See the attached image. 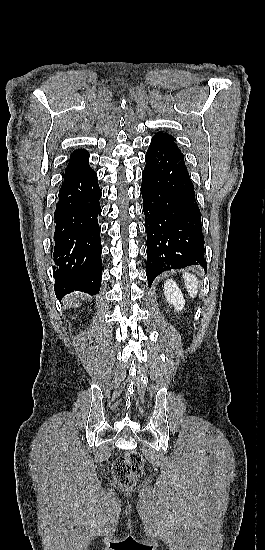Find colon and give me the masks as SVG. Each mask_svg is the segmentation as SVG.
<instances>
[{
  "label": "colon",
  "mask_w": 265,
  "mask_h": 550,
  "mask_svg": "<svg viewBox=\"0 0 265 550\" xmlns=\"http://www.w3.org/2000/svg\"><path fill=\"white\" fill-rule=\"evenodd\" d=\"M144 471L142 456L135 451H130L117 458L112 465V472L116 481L124 486H129L141 477Z\"/></svg>",
  "instance_id": "colon-1"
}]
</instances>
